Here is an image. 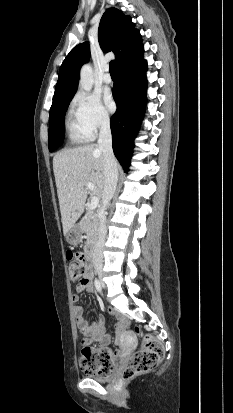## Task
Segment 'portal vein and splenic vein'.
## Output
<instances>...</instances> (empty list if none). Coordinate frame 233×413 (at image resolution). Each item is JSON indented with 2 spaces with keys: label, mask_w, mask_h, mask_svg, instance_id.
I'll use <instances>...</instances> for the list:
<instances>
[{
  "label": "portal vein and splenic vein",
  "mask_w": 233,
  "mask_h": 413,
  "mask_svg": "<svg viewBox=\"0 0 233 413\" xmlns=\"http://www.w3.org/2000/svg\"><path fill=\"white\" fill-rule=\"evenodd\" d=\"M86 187L88 190L92 191L94 189V185L91 182H87ZM99 204V197L93 196L90 201L89 209L95 210Z\"/></svg>",
  "instance_id": "obj_1"
}]
</instances>
